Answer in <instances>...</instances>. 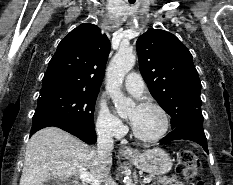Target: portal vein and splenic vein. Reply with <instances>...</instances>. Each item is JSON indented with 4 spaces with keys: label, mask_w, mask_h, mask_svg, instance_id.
I'll use <instances>...</instances> for the list:
<instances>
[{
    "label": "portal vein and splenic vein",
    "mask_w": 233,
    "mask_h": 185,
    "mask_svg": "<svg viewBox=\"0 0 233 185\" xmlns=\"http://www.w3.org/2000/svg\"><path fill=\"white\" fill-rule=\"evenodd\" d=\"M79 178L83 182L89 183L91 185H100V181L98 179L94 178V176L91 175L89 172H87V170L84 168L79 169ZM151 181H152L151 178H144L143 179V182L146 184L150 183Z\"/></svg>",
    "instance_id": "portal-vein-and-splenic-vein-1"
}]
</instances>
